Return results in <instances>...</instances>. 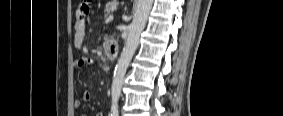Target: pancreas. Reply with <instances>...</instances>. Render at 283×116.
Listing matches in <instances>:
<instances>
[{
	"mask_svg": "<svg viewBox=\"0 0 283 116\" xmlns=\"http://www.w3.org/2000/svg\"><path fill=\"white\" fill-rule=\"evenodd\" d=\"M118 5H119V3L116 0L108 2L106 7H105V10H104V12H105L104 17L106 18L107 16L111 15L112 14V8L117 7Z\"/></svg>",
	"mask_w": 283,
	"mask_h": 116,
	"instance_id": "pancreas-1",
	"label": "pancreas"
}]
</instances>
